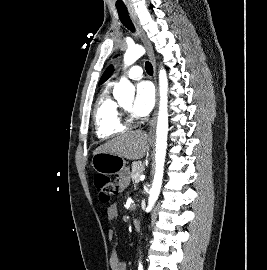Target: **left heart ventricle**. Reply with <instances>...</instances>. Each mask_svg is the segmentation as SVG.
Masks as SVG:
<instances>
[{"label": "left heart ventricle", "mask_w": 267, "mask_h": 270, "mask_svg": "<svg viewBox=\"0 0 267 270\" xmlns=\"http://www.w3.org/2000/svg\"><path fill=\"white\" fill-rule=\"evenodd\" d=\"M123 106L125 107V108H127V109H131V101H127V102H125L124 104H123Z\"/></svg>", "instance_id": "1"}]
</instances>
